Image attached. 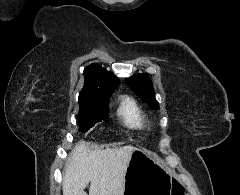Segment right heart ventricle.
Instances as JSON below:
<instances>
[{"instance_id":"obj_1","label":"right heart ventricle","mask_w":240,"mask_h":195,"mask_svg":"<svg viewBox=\"0 0 240 195\" xmlns=\"http://www.w3.org/2000/svg\"><path fill=\"white\" fill-rule=\"evenodd\" d=\"M118 115L128 127L140 128L144 124L141 108L132 98H125L122 100L118 108Z\"/></svg>"}]
</instances>
